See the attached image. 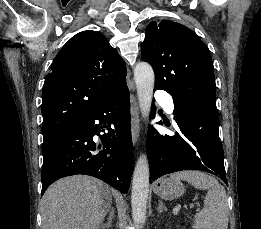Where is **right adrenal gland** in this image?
Listing matches in <instances>:
<instances>
[{"label": "right adrenal gland", "instance_id": "1", "mask_svg": "<svg viewBox=\"0 0 261 229\" xmlns=\"http://www.w3.org/2000/svg\"><path fill=\"white\" fill-rule=\"evenodd\" d=\"M113 219H114V211L113 209H110L108 215V223H106V225H102V229H110V227H112Z\"/></svg>", "mask_w": 261, "mask_h": 229}]
</instances>
